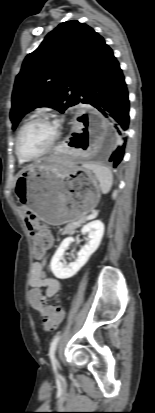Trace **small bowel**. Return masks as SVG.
<instances>
[{
  "label": "small bowel",
  "instance_id": "c3829d8e",
  "mask_svg": "<svg viewBox=\"0 0 155 413\" xmlns=\"http://www.w3.org/2000/svg\"><path fill=\"white\" fill-rule=\"evenodd\" d=\"M17 211L21 216L23 227H26L27 231H41V234L47 238V247H50L53 243V238L51 234L46 231V223L35 218L33 211L29 209L27 205H19ZM42 266H45V263L36 262L31 267L29 277V285L31 289L29 291V296L31 293H37L42 296V291L45 289L46 296L52 298L59 291L60 282L56 278L48 277L46 273H42ZM33 308L38 310V308Z\"/></svg>",
  "mask_w": 155,
  "mask_h": 413
}]
</instances>
